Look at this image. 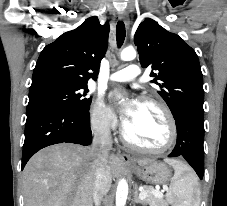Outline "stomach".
I'll return each mask as SVG.
<instances>
[{
	"mask_svg": "<svg viewBox=\"0 0 227 206\" xmlns=\"http://www.w3.org/2000/svg\"><path fill=\"white\" fill-rule=\"evenodd\" d=\"M131 169L140 179L147 183L162 185L171 179V170L163 162L151 160L144 164L138 161V165H132Z\"/></svg>",
	"mask_w": 227,
	"mask_h": 206,
	"instance_id": "1",
	"label": "stomach"
}]
</instances>
